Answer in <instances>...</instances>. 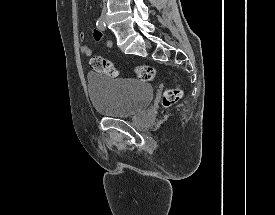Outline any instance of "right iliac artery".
<instances>
[{"instance_id": "82829eb1", "label": "right iliac artery", "mask_w": 275, "mask_h": 215, "mask_svg": "<svg viewBox=\"0 0 275 215\" xmlns=\"http://www.w3.org/2000/svg\"><path fill=\"white\" fill-rule=\"evenodd\" d=\"M96 26H97L100 30H102V31H104V30L106 29V24H105V22L103 21L102 18H99V19L97 20Z\"/></svg>"}]
</instances>
